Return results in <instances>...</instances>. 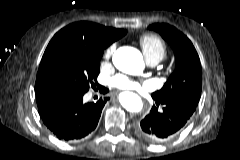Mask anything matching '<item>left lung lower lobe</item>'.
Listing matches in <instances>:
<instances>
[{"instance_id": "left-lung-lower-lobe-1", "label": "left lung lower lobe", "mask_w": 240, "mask_h": 160, "mask_svg": "<svg viewBox=\"0 0 240 160\" xmlns=\"http://www.w3.org/2000/svg\"><path fill=\"white\" fill-rule=\"evenodd\" d=\"M156 101L163 106L161 112L153 106L150 113L137 125L141 138L152 143H163L173 138L186 124L196 107L176 100Z\"/></svg>"}]
</instances>
